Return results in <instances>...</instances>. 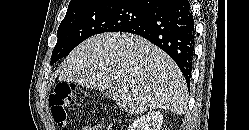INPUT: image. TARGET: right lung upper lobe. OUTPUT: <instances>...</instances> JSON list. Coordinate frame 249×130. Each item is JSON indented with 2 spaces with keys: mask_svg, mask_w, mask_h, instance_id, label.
Returning <instances> with one entry per match:
<instances>
[{
  "mask_svg": "<svg viewBox=\"0 0 249 130\" xmlns=\"http://www.w3.org/2000/svg\"><path fill=\"white\" fill-rule=\"evenodd\" d=\"M96 1H104V0H71L68 5V10L83 6L89 3H93ZM131 3L138 5L140 7L152 10L154 12H157L173 2L174 0H128Z\"/></svg>",
  "mask_w": 249,
  "mask_h": 130,
  "instance_id": "obj_1",
  "label": "right lung upper lobe"
}]
</instances>
